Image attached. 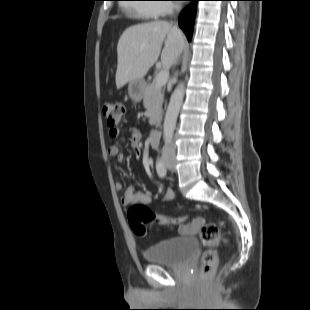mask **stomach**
Wrapping results in <instances>:
<instances>
[{
  "label": "stomach",
  "mask_w": 310,
  "mask_h": 310,
  "mask_svg": "<svg viewBox=\"0 0 310 310\" xmlns=\"http://www.w3.org/2000/svg\"><path fill=\"white\" fill-rule=\"evenodd\" d=\"M145 83L143 80H133L128 84V94L133 101L139 102L143 96Z\"/></svg>",
  "instance_id": "0dacf381"
}]
</instances>
